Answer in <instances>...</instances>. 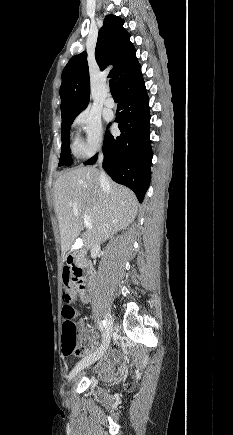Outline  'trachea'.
Segmentation results:
<instances>
[{"label":"trachea","mask_w":233,"mask_h":435,"mask_svg":"<svg viewBox=\"0 0 233 435\" xmlns=\"http://www.w3.org/2000/svg\"><path fill=\"white\" fill-rule=\"evenodd\" d=\"M110 92L112 95H118L116 82L114 80L109 81Z\"/></svg>","instance_id":"3493384b"}]
</instances>
